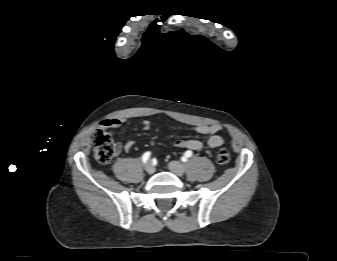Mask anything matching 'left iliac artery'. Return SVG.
I'll return each mask as SVG.
<instances>
[{
  "label": "left iliac artery",
  "mask_w": 337,
  "mask_h": 261,
  "mask_svg": "<svg viewBox=\"0 0 337 261\" xmlns=\"http://www.w3.org/2000/svg\"><path fill=\"white\" fill-rule=\"evenodd\" d=\"M192 154H193L192 151L188 150V151L185 152L184 156H185L186 158H189V157L192 156Z\"/></svg>",
  "instance_id": "44dca946"
}]
</instances>
